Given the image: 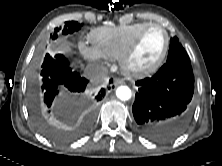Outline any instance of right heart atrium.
I'll use <instances>...</instances> for the list:
<instances>
[{"label":"right heart atrium","instance_id":"obj_1","mask_svg":"<svg viewBox=\"0 0 222 166\" xmlns=\"http://www.w3.org/2000/svg\"><path fill=\"white\" fill-rule=\"evenodd\" d=\"M79 47L83 56L88 60L93 62H99L102 60V56L93 47L88 46L86 43L81 42Z\"/></svg>","mask_w":222,"mask_h":166}]
</instances>
